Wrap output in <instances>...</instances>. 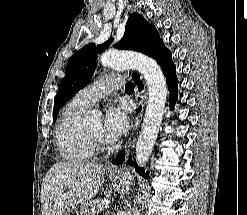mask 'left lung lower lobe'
<instances>
[{
	"label": "left lung lower lobe",
	"instance_id": "left-lung-lower-lobe-1",
	"mask_svg": "<svg viewBox=\"0 0 247 215\" xmlns=\"http://www.w3.org/2000/svg\"><path fill=\"white\" fill-rule=\"evenodd\" d=\"M153 59H155L158 64L161 66L163 73L166 77L168 88L170 91V107L173 108L176 100H177V87H178V80L176 77V68L174 63L171 59V52L168 50L164 44H162L153 54ZM133 80L136 84H138L139 90L143 89V84L141 83L139 79V75L137 73H134L132 75ZM141 110V107L138 109V111ZM124 162V153L121 152L115 160L112 161L113 164H122ZM128 163L131 164V166H134L136 171L142 175L144 178H148V173H145V170L143 168H139L136 164V161H132L130 158L128 160Z\"/></svg>",
	"mask_w": 247,
	"mask_h": 215
}]
</instances>
